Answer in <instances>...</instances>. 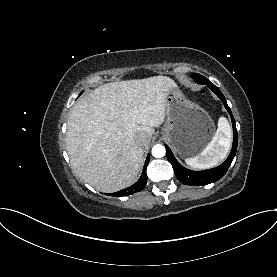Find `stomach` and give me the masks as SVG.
Instances as JSON below:
<instances>
[{
	"instance_id": "stomach-1",
	"label": "stomach",
	"mask_w": 277,
	"mask_h": 277,
	"mask_svg": "<svg viewBox=\"0 0 277 277\" xmlns=\"http://www.w3.org/2000/svg\"><path fill=\"white\" fill-rule=\"evenodd\" d=\"M162 135L179 156L192 157L211 142L215 125L206 110L187 99L176 87L166 96V122Z\"/></svg>"
}]
</instances>
